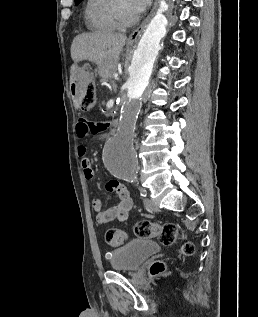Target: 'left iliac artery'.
Here are the masks:
<instances>
[{
	"instance_id": "1",
	"label": "left iliac artery",
	"mask_w": 258,
	"mask_h": 317,
	"mask_svg": "<svg viewBox=\"0 0 258 317\" xmlns=\"http://www.w3.org/2000/svg\"><path fill=\"white\" fill-rule=\"evenodd\" d=\"M123 179L126 180L129 183H135L136 182V177H124ZM138 189H139L140 195L142 197H146L147 196V191H146L145 188L138 186Z\"/></svg>"
}]
</instances>
